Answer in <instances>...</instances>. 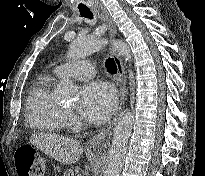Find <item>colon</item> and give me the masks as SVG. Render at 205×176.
I'll list each match as a JSON object with an SVG mask.
<instances>
[{"label":"colon","mask_w":205,"mask_h":176,"mask_svg":"<svg viewBox=\"0 0 205 176\" xmlns=\"http://www.w3.org/2000/svg\"><path fill=\"white\" fill-rule=\"evenodd\" d=\"M18 176H43L45 160L36 150L20 148L14 156Z\"/></svg>","instance_id":"obj_1"}]
</instances>
